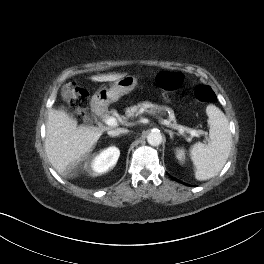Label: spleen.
<instances>
[{"label":"spleen","mask_w":264,"mask_h":264,"mask_svg":"<svg viewBox=\"0 0 264 264\" xmlns=\"http://www.w3.org/2000/svg\"><path fill=\"white\" fill-rule=\"evenodd\" d=\"M206 113L211 141L208 144L198 142L190 150L196 168L195 178L199 181L209 180L222 170L232 147L229 121L225 114L215 105H208Z\"/></svg>","instance_id":"obj_1"}]
</instances>
